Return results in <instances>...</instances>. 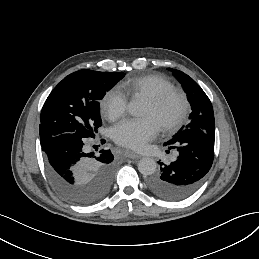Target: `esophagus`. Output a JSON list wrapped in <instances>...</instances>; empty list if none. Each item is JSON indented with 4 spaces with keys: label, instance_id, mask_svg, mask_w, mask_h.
I'll use <instances>...</instances> for the list:
<instances>
[{
    "label": "esophagus",
    "instance_id": "34e87169",
    "mask_svg": "<svg viewBox=\"0 0 259 259\" xmlns=\"http://www.w3.org/2000/svg\"><path fill=\"white\" fill-rule=\"evenodd\" d=\"M126 156L130 159H140L141 158V155L139 154H136L135 152L133 151H127L126 152Z\"/></svg>",
    "mask_w": 259,
    "mask_h": 259
}]
</instances>
